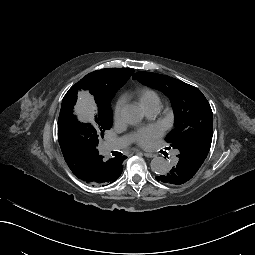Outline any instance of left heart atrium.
<instances>
[{
    "label": "left heart atrium",
    "instance_id": "1",
    "mask_svg": "<svg viewBox=\"0 0 255 255\" xmlns=\"http://www.w3.org/2000/svg\"><path fill=\"white\" fill-rule=\"evenodd\" d=\"M141 132L142 137L140 139H135V142L142 147H149L152 140L160 135L157 129H144Z\"/></svg>",
    "mask_w": 255,
    "mask_h": 255
}]
</instances>
